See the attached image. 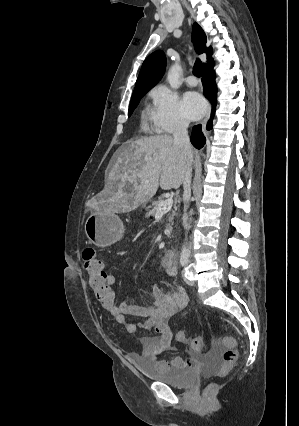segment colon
<instances>
[{
	"mask_svg": "<svg viewBox=\"0 0 299 426\" xmlns=\"http://www.w3.org/2000/svg\"><path fill=\"white\" fill-rule=\"evenodd\" d=\"M84 269L88 276V286L92 290L96 301L105 309L115 304V292L106 280V271L99 257L98 252L93 248H85L83 253ZM179 343L187 342V336L184 330H179L175 336ZM225 346L223 354V366L219 370L218 375L222 376L227 373L230 367L234 365L238 357L236 349V340L227 336L222 340ZM191 347L195 351L203 348L204 341L200 337L193 338L190 341ZM215 389V385L210 384L204 390V395L209 396Z\"/></svg>",
	"mask_w": 299,
	"mask_h": 426,
	"instance_id": "colon-1",
	"label": "colon"
}]
</instances>
